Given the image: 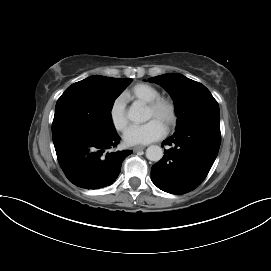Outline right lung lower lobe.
<instances>
[{
  "mask_svg": "<svg viewBox=\"0 0 271 271\" xmlns=\"http://www.w3.org/2000/svg\"><path fill=\"white\" fill-rule=\"evenodd\" d=\"M116 131L101 127L65 133L54 139L58 162L70 182L85 189L112 184L130 150L108 152L119 143Z\"/></svg>",
  "mask_w": 271,
  "mask_h": 271,
  "instance_id": "1",
  "label": "right lung lower lobe"
}]
</instances>
